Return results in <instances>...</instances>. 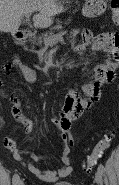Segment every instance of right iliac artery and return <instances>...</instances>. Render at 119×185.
<instances>
[{
	"label": "right iliac artery",
	"instance_id": "1",
	"mask_svg": "<svg viewBox=\"0 0 119 185\" xmlns=\"http://www.w3.org/2000/svg\"><path fill=\"white\" fill-rule=\"evenodd\" d=\"M18 181H19V175L14 174V176L12 178L13 185H17Z\"/></svg>",
	"mask_w": 119,
	"mask_h": 185
}]
</instances>
